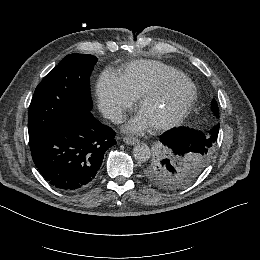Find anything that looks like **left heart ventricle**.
I'll return each mask as SVG.
<instances>
[{
	"instance_id": "obj_1",
	"label": "left heart ventricle",
	"mask_w": 260,
	"mask_h": 260,
	"mask_svg": "<svg viewBox=\"0 0 260 260\" xmlns=\"http://www.w3.org/2000/svg\"><path fill=\"white\" fill-rule=\"evenodd\" d=\"M190 93V86L186 82L174 83L142 107V112L153 124L175 114L184 105Z\"/></svg>"
}]
</instances>
